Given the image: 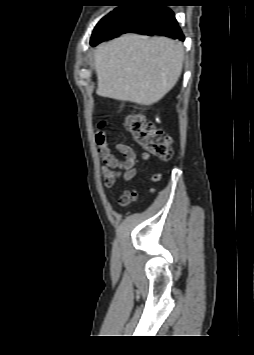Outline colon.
I'll return each instance as SVG.
<instances>
[{"mask_svg": "<svg viewBox=\"0 0 254 355\" xmlns=\"http://www.w3.org/2000/svg\"><path fill=\"white\" fill-rule=\"evenodd\" d=\"M104 122L100 127H104ZM124 125L130 132L133 140L142 146L147 157H155L163 161H169L173 157L170 137L158 128L154 123L147 122L139 115L126 114ZM134 193L131 192V197Z\"/></svg>", "mask_w": 254, "mask_h": 355, "instance_id": "1", "label": "colon"}]
</instances>
